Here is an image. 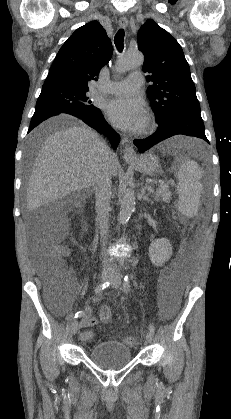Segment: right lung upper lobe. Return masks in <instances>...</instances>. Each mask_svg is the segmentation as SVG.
Wrapping results in <instances>:
<instances>
[{
  "mask_svg": "<svg viewBox=\"0 0 231 419\" xmlns=\"http://www.w3.org/2000/svg\"><path fill=\"white\" fill-rule=\"evenodd\" d=\"M113 48L105 29L97 21L78 28L63 44L43 86L66 85L89 89L102 66L112 56Z\"/></svg>",
  "mask_w": 231,
  "mask_h": 419,
  "instance_id": "cb5924a9",
  "label": "right lung upper lobe"
}]
</instances>
